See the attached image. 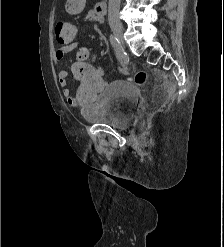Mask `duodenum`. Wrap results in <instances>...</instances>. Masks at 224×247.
<instances>
[{
	"mask_svg": "<svg viewBox=\"0 0 224 247\" xmlns=\"http://www.w3.org/2000/svg\"><path fill=\"white\" fill-rule=\"evenodd\" d=\"M96 11L101 15L105 12L106 10V2L105 0H102L101 2H99L97 5H96Z\"/></svg>",
	"mask_w": 224,
	"mask_h": 247,
	"instance_id": "obj_1",
	"label": "duodenum"
}]
</instances>
